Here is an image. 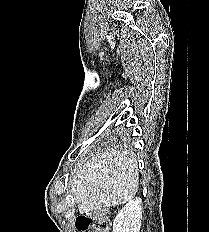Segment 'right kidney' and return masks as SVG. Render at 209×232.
I'll return each instance as SVG.
<instances>
[{"label": "right kidney", "mask_w": 209, "mask_h": 232, "mask_svg": "<svg viewBox=\"0 0 209 232\" xmlns=\"http://www.w3.org/2000/svg\"><path fill=\"white\" fill-rule=\"evenodd\" d=\"M142 200L131 199L117 214L113 232H139L142 219Z\"/></svg>", "instance_id": "1"}]
</instances>
